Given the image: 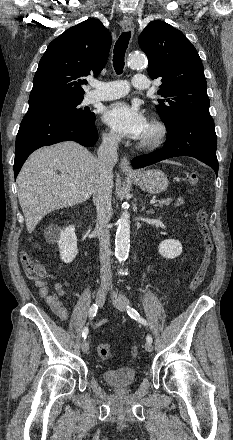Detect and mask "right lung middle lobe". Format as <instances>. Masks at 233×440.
Instances as JSON below:
<instances>
[{"label": "right lung middle lobe", "instance_id": "obj_1", "mask_svg": "<svg viewBox=\"0 0 233 440\" xmlns=\"http://www.w3.org/2000/svg\"><path fill=\"white\" fill-rule=\"evenodd\" d=\"M83 98H60L29 105L28 110L55 111L91 123L95 120L93 112L79 107Z\"/></svg>", "mask_w": 233, "mask_h": 440}]
</instances>
